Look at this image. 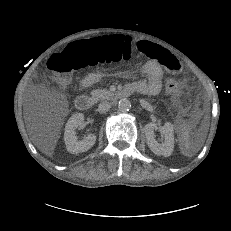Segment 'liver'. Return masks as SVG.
I'll return each mask as SVG.
<instances>
[{"mask_svg":"<svg viewBox=\"0 0 231 231\" xmlns=\"http://www.w3.org/2000/svg\"><path fill=\"white\" fill-rule=\"evenodd\" d=\"M37 145H38V148L41 150V151H43V152H45L46 154H48L49 156L51 155V152L53 151V149H54V146H46V145H42L41 143H37Z\"/></svg>","mask_w":231,"mask_h":231,"instance_id":"liver-1","label":"liver"}]
</instances>
